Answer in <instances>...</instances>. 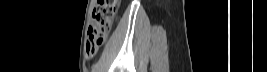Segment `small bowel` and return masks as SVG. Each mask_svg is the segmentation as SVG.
Returning <instances> with one entry per match:
<instances>
[{"label":"small bowel","mask_w":267,"mask_h":72,"mask_svg":"<svg viewBox=\"0 0 267 72\" xmlns=\"http://www.w3.org/2000/svg\"><path fill=\"white\" fill-rule=\"evenodd\" d=\"M88 47H89V44H88V42H87V44H86V53H87V55H88L89 57H92L93 55L96 54L97 50L94 51V52H89V51H88Z\"/></svg>","instance_id":"obj_1"}]
</instances>
